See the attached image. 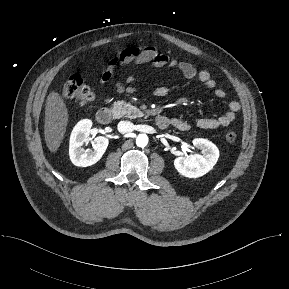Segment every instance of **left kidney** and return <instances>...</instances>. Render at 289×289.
I'll return each mask as SVG.
<instances>
[{
  "label": "left kidney",
  "mask_w": 289,
  "mask_h": 289,
  "mask_svg": "<svg viewBox=\"0 0 289 289\" xmlns=\"http://www.w3.org/2000/svg\"><path fill=\"white\" fill-rule=\"evenodd\" d=\"M193 145L201 150L202 154H194L190 157H178L174 160L176 170L188 178H198L208 173L217 163L219 150L211 141L196 138Z\"/></svg>",
  "instance_id": "5707ae66"
}]
</instances>
